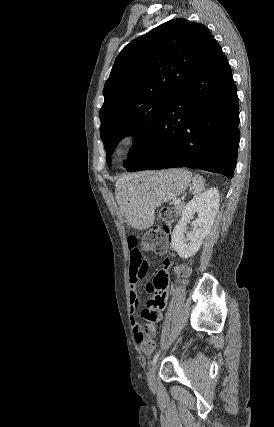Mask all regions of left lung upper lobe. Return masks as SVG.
Wrapping results in <instances>:
<instances>
[{
  "instance_id": "left-lung-upper-lobe-1",
  "label": "left lung upper lobe",
  "mask_w": 274,
  "mask_h": 427,
  "mask_svg": "<svg viewBox=\"0 0 274 427\" xmlns=\"http://www.w3.org/2000/svg\"><path fill=\"white\" fill-rule=\"evenodd\" d=\"M213 41L207 27L179 18L123 48L104 85L105 100L99 112L110 168V156L125 136H136L125 168L150 147L176 93Z\"/></svg>"
}]
</instances>
